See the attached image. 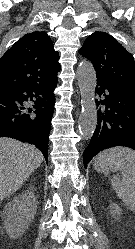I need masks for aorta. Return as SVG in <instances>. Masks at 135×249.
Masks as SVG:
<instances>
[{"mask_svg": "<svg viewBox=\"0 0 135 249\" xmlns=\"http://www.w3.org/2000/svg\"><path fill=\"white\" fill-rule=\"evenodd\" d=\"M77 80L82 99L79 116V131L85 140H90L97 125V108L95 103L96 74L92 64L82 61L77 69Z\"/></svg>", "mask_w": 135, "mask_h": 249, "instance_id": "1", "label": "aorta"}]
</instances>
